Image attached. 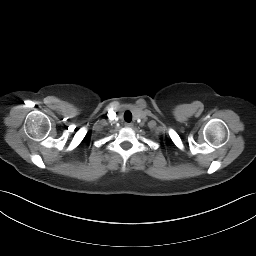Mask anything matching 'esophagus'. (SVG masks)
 <instances>
[{
  "mask_svg": "<svg viewBox=\"0 0 256 256\" xmlns=\"http://www.w3.org/2000/svg\"><path fill=\"white\" fill-rule=\"evenodd\" d=\"M125 126H126V127H132L133 124H132V123H125Z\"/></svg>",
  "mask_w": 256,
  "mask_h": 256,
  "instance_id": "esophagus-1",
  "label": "esophagus"
}]
</instances>
